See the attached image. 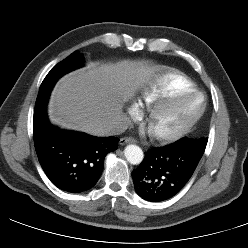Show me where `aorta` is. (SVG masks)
<instances>
[{
    "instance_id": "762f6f07",
    "label": "aorta",
    "mask_w": 248,
    "mask_h": 248,
    "mask_svg": "<svg viewBox=\"0 0 248 248\" xmlns=\"http://www.w3.org/2000/svg\"><path fill=\"white\" fill-rule=\"evenodd\" d=\"M124 155L127 161L133 165L140 164L144 158L142 149L139 146L133 144L126 146Z\"/></svg>"
}]
</instances>
